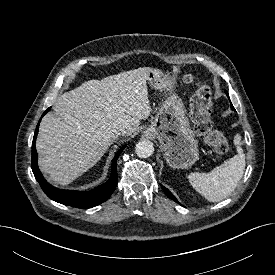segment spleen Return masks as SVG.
<instances>
[{"label":"spleen","mask_w":275,"mask_h":275,"mask_svg":"<svg viewBox=\"0 0 275 275\" xmlns=\"http://www.w3.org/2000/svg\"><path fill=\"white\" fill-rule=\"evenodd\" d=\"M237 154L214 168L210 173L194 172L189 175L193 188L210 202H219L236 188L245 170V154L241 147V136L234 137Z\"/></svg>","instance_id":"1"}]
</instances>
